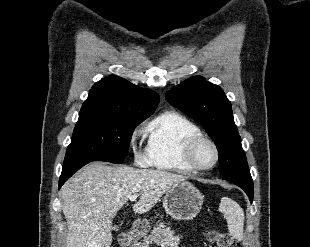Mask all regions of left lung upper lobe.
<instances>
[{
    "label": "left lung upper lobe",
    "mask_w": 310,
    "mask_h": 247,
    "mask_svg": "<svg viewBox=\"0 0 310 247\" xmlns=\"http://www.w3.org/2000/svg\"><path fill=\"white\" fill-rule=\"evenodd\" d=\"M166 100L206 129L218 149L221 175L248 170L231 103L219 86L191 77L167 92Z\"/></svg>",
    "instance_id": "obj_1"
}]
</instances>
